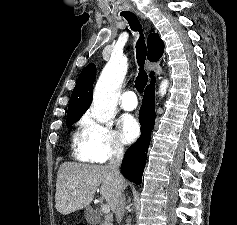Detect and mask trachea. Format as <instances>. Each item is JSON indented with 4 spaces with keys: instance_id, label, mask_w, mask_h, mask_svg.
Listing matches in <instances>:
<instances>
[{
    "instance_id": "trachea-1",
    "label": "trachea",
    "mask_w": 237,
    "mask_h": 225,
    "mask_svg": "<svg viewBox=\"0 0 237 225\" xmlns=\"http://www.w3.org/2000/svg\"><path fill=\"white\" fill-rule=\"evenodd\" d=\"M123 17L128 21L130 28L133 31H138L140 33V38L136 43V59L139 65V73L135 80V87L138 92H143L145 86L148 82V75L144 70V64L147 55V48L144 40V36L142 34L143 30L140 25L138 18L131 12L123 14Z\"/></svg>"
}]
</instances>
